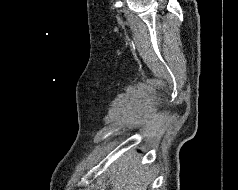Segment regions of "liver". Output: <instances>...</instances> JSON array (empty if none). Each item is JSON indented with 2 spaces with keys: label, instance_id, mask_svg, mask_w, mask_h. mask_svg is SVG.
<instances>
[{
  "label": "liver",
  "instance_id": "6515ba94",
  "mask_svg": "<svg viewBox=\"0 0 238 190\" xmlns=\"http://www.w3.org/2000/svg\"><path fill=\"white\" fill-rule=\"evenodd\" d=\"M111 190H147L151 182L145 166L139 165V156L129 152L110 167Z\"/></svg>",
  "mask_w": 238,
  "mask_h": 190
}]
</instances>
